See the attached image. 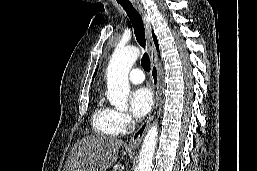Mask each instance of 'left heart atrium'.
I'll return each mask as SVG.
<instances>
[{"instance_id":"39dd6f15","label":"left heart atrium","mask_w":257,"mask_h":171,"mask_svg":"<svg viewBox=\"0 0 257 171\" xmlns=\"http://www.w3.org/2000/svg\"><path fill=\"white\" fill-rule=\"evenodd\" d=\"M153 103L152 94L146 87L135 89L130 94V111L136 118L145 116Z\"/></svg>"}]
</instances>
